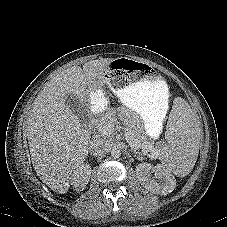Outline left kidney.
Returning <instances> with one entry per match:
<instances>
[{
    "label": "left kidney",
    "instance_id": "left-kidney-1",
    "mask_svg": "<svg viewBox=\"0 0 227 227\" xmlns=\"http://www.w3.org/2000/svg\"><path fill=\"white\" fill-rule=\"evenodd\" d=\"M135 171L141 185L154 194L167 195L176 187L174 175L164 165L153 166L144 162L140 163Z\"/></svg>",
    "mask_w": 227,
    "mask_h": 227
}]
</instances>
